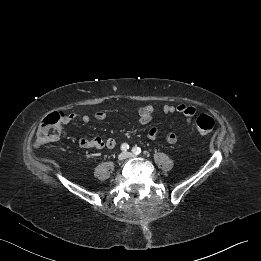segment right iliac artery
<instances>
[{
	"label": "right iliac artery",
	"mask_w": 261,
	"mask_h": 261,
	"mask_svg": "<svg viewBox=\"0 0 261 261\" xmlns=\"http://www.w3.org/2000/svg\"><path fill=\"white\" fill-rule=\"evenodd\" d=\"M128 149H129V145H128L127 143H123V144L121 145V150H122L123 152H126Z\"/></svg>",
	"instance_id": "1"
}]
</instances>
